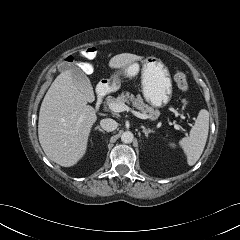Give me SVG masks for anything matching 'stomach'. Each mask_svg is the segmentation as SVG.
Returning a JSON list of instances; mask_svg holds the SVG:
<instances>
[{
	"mask_svg": "<svg viewBox=\"0 0 240 240\" xmlns=\"http://www.w3.org/2000/svg\"><path fill=\"white\" fill-rule=\"evenodd\" d=\"M140 67L133 62L123 68L126 77L138 75ZM112 90L119 89L121 80L119 73L107 80ZM142 93L145 100L153 107L166 106L172 97V80L168 68L156 57H147L142 61L141 69Z\"/></svg>",
	"mask_w": 240,
	"mask_h": 240,
	"instance_id": "obj_1",
	"label": "stomach"
}]
</instances>
